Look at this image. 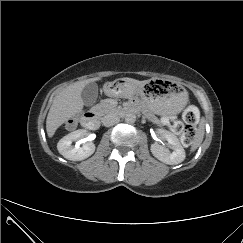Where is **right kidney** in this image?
Returning <instances> with one entry per match:
<instances>
[{"label": "right kidney", "mask_w": 243, "mask_h": 243, "mask_svg": "<svg viewBox=\"0 0 243 243\" xmlns=\"http://www.w3.org/2000/svg\"><path fill=\"white\" fill-rule=\"evenodd\" d=\"M87 135V131L79 129L64 136L57 144L59 153L68 160L81 161L91 156L95 151V145L91 141L83 142L82 138ZM76 142L73 146L72 143Z\"/></svg>", "instance_id": "right-kidney-1"}]
</instances>
